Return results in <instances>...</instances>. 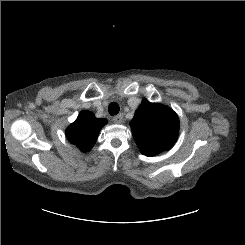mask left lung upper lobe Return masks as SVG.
Segmentation results:
<instances>
[{
  "instance_id": "left-lung-upper-lobe-1",
  "label": "left lung upper lobe",
  "mask_w": 245,
  "mask_h": 245,
  "mask_svg": "<svg viewBox=\"0 0 245 245\" xmlns=\"http://www.w3.org/2000/svg\"><path fill=\"white\" fill-rule=\"evenodd\" d=\"M140 152L155 156L170 149L179 133V119L170 108L143 100L130 122Z\"/></svg>"
}]
</instances>
